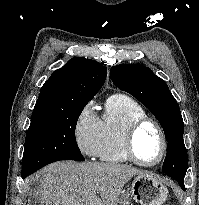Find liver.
<instances>
[{
	"label": "liver",
	"instance_id": "liver-1",
	"mask_svg": "<svg viewBox=\"0 0 199 205\" xmlns=\"http://www.w3.org/2000/svg\"><path fill=\"white\" fill-rule=\"evenodd\" d=\"M140 174L144 172L118 163L61 161L48 165L31 180L39 182L41 205H112L124 185Z\"/></svg>",
	"mask_w": 199,
	"mask_h": 205
}]
</instances>
